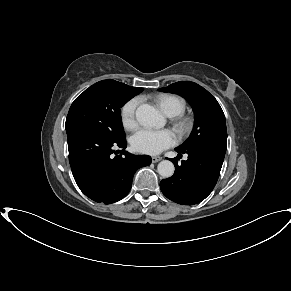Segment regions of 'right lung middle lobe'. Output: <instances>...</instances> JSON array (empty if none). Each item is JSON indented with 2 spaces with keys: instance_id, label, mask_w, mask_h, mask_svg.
<instances>
[{
  "instance_id": "obj_1",
  "label": "right lung middle lobe",
  "mask_w": 291,
  "mask_h": 291,
  "mask_svg": "<svg viewBox=\"0 0 291 291\" xmlns=\"http://www.w3.org/2000/svg\"><path fill=\"white\" fill-rule=\"evenodd\" d=\"M140 91L102 80L80 94L66 118L67 131H85L117 142L125 139L120 108Z\"/></svg>"
}]
</instances>
